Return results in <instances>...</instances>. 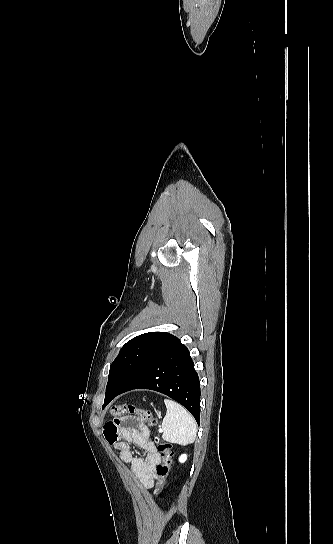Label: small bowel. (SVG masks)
<instances>
[{"instance_id": "obj_1", "label": "small bowel", "mask_w": 333, "mask_h": 544, "mask_svg": "<svg viewBox=\"0 0 333 544\" xmlns=\"http://www.w3.org/2000/svg\"><path fill=\"white\" fill-rule=\"evenodd\" d=\"M135 419L129 417L115 418L104 425L105 439L113 444L121 461L130 464L131 472L145 488L153 486L156 480V466L161 463V456L153 445L149 429L144 423L134 426ZM129 443L144 450L145 456L134 457Z\"/></svg>"}]
</instances>
